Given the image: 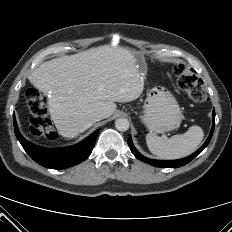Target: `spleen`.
<instances>
[{
    "label": "spleen",
    "instance_id": "obj_1",
    "mask_svg": "<svg viewBox=\"0 0 232 232\" xmlns=\"http://www.w3.org/2000/svg\"><path fill=\"white\" fill-rule=\"evenodd\" d=\"M204 132L201 127L191 126L184 134L174 135L169 139L161 138L153 133L146 135V143L150 152L162 159H179L193 153L201 143Z\"/></svg>",
    "mask_w": 232,
    "mask_h": 232
}]
</instances>
